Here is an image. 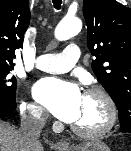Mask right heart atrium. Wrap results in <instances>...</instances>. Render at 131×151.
<instances>
[{"label":"right heart atrium","instance_id":"right-heart-atrium-1","mask_svg":"<svg viewBox=\"0 0 131 151\" xmlns=\"http://www.w3.org/2000/svg\"><path fill=\"white\" fill-rule=\"evenodd\" d=\"M20 112L25 118L37 123H41L46 117L40 106L28 100H23L20 103Z\"/></svg>","mask_w":131,"mask_h":151}]
</instances>
